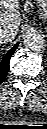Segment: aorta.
<instances>
[{
  "mask_svg": "<svg viewBox=\"0 0 47 129\" xmlns=\"http://www.w3.org/2000/svg\"><path fill=\"white\" fill-rule=\"evenodd\" d=\"M24 46L30 50L42 49L46 44L45 37L38 31H30L23 38Z\"/></svg>",
  "mask_w": 47,
  "mask_h": 129,
  "instance_id": "762f6f07",
  "label": "aorta"
}]
</instances>
